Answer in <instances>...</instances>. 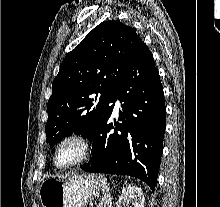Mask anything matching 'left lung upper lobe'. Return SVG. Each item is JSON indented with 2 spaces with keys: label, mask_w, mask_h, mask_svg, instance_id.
Here are the masks:
<instances>
[{
  "label": "left lung upper lobe",
  "mask_w": 220,
  "mask_h": 207,
  "mask_svg": "<svg viewBox=\"0 0 220 207\" xmlns=\"http://www.w3.org/2000/svg\"><path fill=\"white\" fill-rule=\"evenodd\" d=\"M142 40L120 21H104L64 58L48 100L46 142L74 133L92 138Z\"/></svg>",
  "instance_id": "5c2ea615"
}]
</instances>
